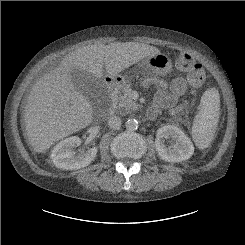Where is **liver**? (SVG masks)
I'll return each instance as SVG.
<instances>
[{"mask_svg":"<svg viewBox=\"0 0 245 245\" xmlns=\"http://www.w3.org/2000/svg\"><path fill=\"white\" fill-rule=\"evenodd\" d=\"M159 49L137 42L95 43L76 49L61 65L40 79L32 88L24 110L28 141L38 153L55 142L89 126L93 108L89 99L77 91L71 72H86L97 80L103 68L112 77L156 54Z\"/></svg>","mask_w":245,"mask_h":245,"instance_id":"obj_1","label":"liver"}]
</instances>
